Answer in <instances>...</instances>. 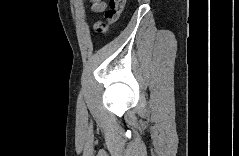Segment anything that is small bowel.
Instances as JSON below:
<instances>
[{"mask_svg":"<svg viewBox=\"0 0 239 156\" xmlns=\"http://www.w3.org/2000/svg\"><path fill=\"white\" fill-rule=\"evenodd\" d=\"M105 9H106V3L104 1L96 0V1H93V3L91 4V10L94 13L103 12Z\"/></svg>","mask_w":239,"mask_h":156,"instance_id":"obj_1","label":"small bowel"}]
</instances>
